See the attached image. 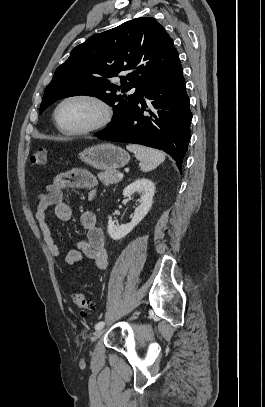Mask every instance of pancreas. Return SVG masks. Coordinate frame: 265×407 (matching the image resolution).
<instances>
[{"label":"pancreas","instance_id":"cf45deb5","mask_svg":"<svg viewBox=\"0 0 265 407\" xmlns=\"http://www.w3.org/2000/svg\"><path fill=\"white\" fill-rule=\"evenodd\" d=\"M118 174H119L118 171L111 170L99 173L98 178L105 186H109L111 184H116L120 181Z\"/></svg>","mask_w":265,"mask_h":407}]
</instances>
